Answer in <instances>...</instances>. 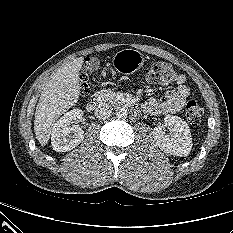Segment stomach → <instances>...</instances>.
<instances>
[{"label": "stomach", "mask_w": 233, "mask_h": 233, "mask_svg": "<svg viewBox=\"0 0 233 233\" xmlns=\"http://www.w3.org/2000/svg\"><path fill=\"white\" fill-rule=\"evenodd\" d=\"M144 57L134 49H123L118 51L113 57V66L121 73H132L143 66Z\"/></svg>", "instance_id": "1"}]
</instances>
